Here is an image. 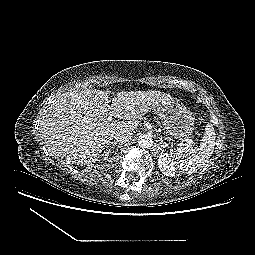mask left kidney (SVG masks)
<instances>
[{
  "mask_svg": "<svg viewBox=\"0 0 255 255\" xmlns=\"http://www.w3.org/2000/svg\"><path fill=\"white\" fill-rule=\"evenodd\" d=\"M158 166L160 171L169 177L176 175V167L170 155L166 152H161L158 156Z\"/></svg>",
  "mask_w": 255,
  "mask_h": 255,
  "instance_id": "5707ae66",
  "label": "left kidney"
}]
</instances>
